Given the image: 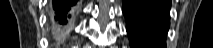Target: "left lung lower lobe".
Masks as SVG:
<instances>
[{
	"instance_id": "obj_1",
	"label": "left lung lower lobe",
	"mask_w": 213,
	"mask_h": 48,
	"mask_svg": "<svg viewBox=\"0 0 213 48\" xmlns=\"http://www.w3.org/2000/svg\"><path fill=\"white\" fill-rule=\"evenodd\" d=\"M170 0H123L131 48H166Z\"/></svg>"
}]
</instances>
